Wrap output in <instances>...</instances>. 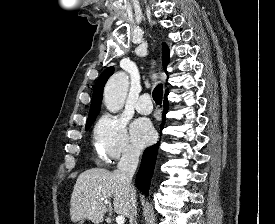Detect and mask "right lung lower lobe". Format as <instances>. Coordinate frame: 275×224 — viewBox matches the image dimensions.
Wrapping results in <instances>:
<instances>
[{
  "mask_svg": "<svg viewBox=\"0 0 275 224\" xmlns=\"http://www.w3.org/2000/svg\"><path fill=\"white\" fill-rule=\"evenodd\" d=\"M167 95H168V91H166V94L164 97V111L162 115L163 121L161 124V130H162V126L164 125L165 115L168 112ZM158 147H159V142H157V144L153 146L148 147L145 150L142 157L140 169L136 176L137 188L146 195H148L149 193V186H150L152 174L154 171Z\"/></svg>",
  "mask_w": 275,
  "mask_h": 224,
  "instance_id": "1",
  "label": "right lung lower lobe"
}]
</instances>
